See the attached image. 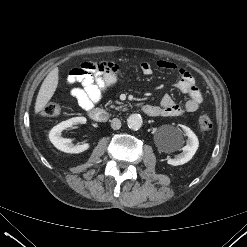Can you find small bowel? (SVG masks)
I'll use <instances>...</instances> for the list:
<instances>
[{
	"instance_id": "obj_1",
	"label": "small bowel",
	"mask_w": 247,
	"mask_h": 247,
	"mask_svg": "<svg viewBox=\"0 0 247 247\" xmlns=\"http://www.w3.org/2000/svg\"><path fill=\"white\" fill-rule=\"evenodd\" d=\"M156 66L179 73L180 79L174 84V87L187 94L188 99L184 106H181L170 95H164L160 104L153 106L156 110L153 117H176L184 112L197 111L203 101V94L192 75L186 69L170 61L159 60L156 62ZM140 70L146 76L153 73V67L147 61L140 64ZM119 75L120 67L115 62H83L79 67L71 70L68 75L69 85L76 83L81 85L72 87L70 94L81 108L90 110L101 101L103 94L116 84Z\"/></svg>"
}]
</instances>
